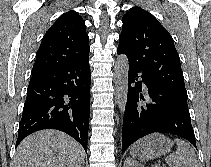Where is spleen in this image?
<instances>
[{"instance_id": "obj_1", "label": "spleen", "mask_w": 211, "mask_h": 167, "mask_svg": "<svg viewBox=\"0 0 211 167\" xmlns=\"http://www.w3.org/2000/svg\"><path fill=\"white\" fill-rule=\"evenodd\" d=\"M178 149L165 158L169 167H199L193 148L183 140L175 139Z\"/></svg>"}]
</instances>
